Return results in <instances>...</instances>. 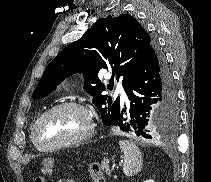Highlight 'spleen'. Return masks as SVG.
<instances>
[{"mask_svg":"<svg viewBox=\"0 0 211 182\" xmlns=\"http://www.w3.org/2000/svg\"><path fill=\"white\" fill-rule=\"evenodd\" d=\"M119 146L124 154L123 172L127 177L137 175L143 165V158L140 149L128 140H120Z\"/></svg>","mask_w":211,"mask_h":182,"instance_id":"spleen-1","label":"spleen"}]
</instances>
